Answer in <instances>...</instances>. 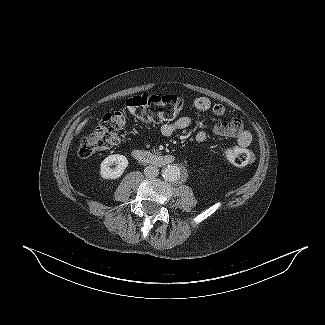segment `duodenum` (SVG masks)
I'll return each mask as SVG.
<instances>
[{
	"label": "duodenum",
	"instance_id": "obj_1",
	"mask_svg": "<svg viewBox=\"0 0 325 325\" xmlns=\"http://www.w3.org/2000/svg\"><path fill=\"white\" fill-rule=\"evenodd\" d=\"M132 154L140 162L153 166H167L172 164L175 160L174 156L172 155L156 154L141 148H134L132 150Z\"/></svg>",
	"mask_w": 325,
	"mask_h": 325
}]
</instances>
